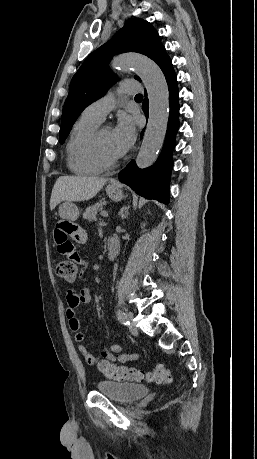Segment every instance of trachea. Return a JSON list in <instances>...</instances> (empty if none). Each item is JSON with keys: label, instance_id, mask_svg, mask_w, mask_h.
I'll list each match as a JSON object with an SVG mask.
<instances>
[{"label": "trachea", "instance_id": "trachea-1", "mask_svg": "<svg viewBox=\"0 0 257 459\" xmlns=\"http://www.w3.org/2000/svg\"><path fill=\"white\" fill-rule=\"evenodd\" d=\"M142 97H143L142 94H137V95L135 96V98H142Z\"/></svg>", "mask_w": 257, "mask_h": 459}]
</instances>
